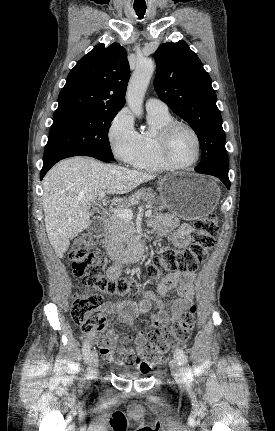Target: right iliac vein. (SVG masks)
I'll list each match as a JSON object with an SVG mask.
<instances>
[{
    "instance_id": "obj_1",
    "label": "right iliac vein",
    "mask_w": 275,
    "mask_h": 431,
    "mask_svg": "<svg viewBox=\"0 0 275 431\" xmlns=\"http://www.w3.org/2000/svg\"><path fill=\"white\" fill-rule=\"evenodd\" d=\"M89 375L95 376L97 374V367H98V354L95 350L91 351L89 359Z\"/></svg>"
}]
</instances>
